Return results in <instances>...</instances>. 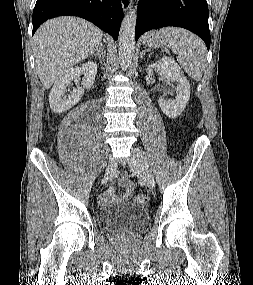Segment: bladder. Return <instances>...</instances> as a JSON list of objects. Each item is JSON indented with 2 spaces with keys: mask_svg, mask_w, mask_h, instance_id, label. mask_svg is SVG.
Returning a JSON list of instances; mask_svg holds the SVG:
<instances>
[{
  "mask_svg": "<svg viewBox=\"0 0 253 285\" xmlns=\"http://www.w3.org/2000/svg\"><path fill=\"white\" fill-rule=\"evenodd\" d=\"M103 229L111 233L137 231L149 221L145 208L127 203L119 207L104 208L99 213Z\"/></svg>",
  "mask_w": 253,
  "mask_h": 285,
  "instance_id": "31cf9c89",
  "label": "bladder"
}]
</instances>
